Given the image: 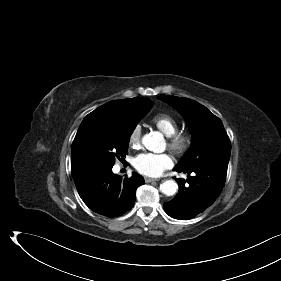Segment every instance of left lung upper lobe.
Segmentation results:
<instances>
[{"label":"left lung upper lobe","instance_id":"5c2ea615","mask_svg":"<svg viewBox=\"0 0 281 281\" xmlns=\"http://www.w3.org/2000/svg\"><path fill=\"white\" fill-rule=\"evenodd\" d=\"M158 99L172 105L181 113L193 136L190 149L176 167L190 169L204 164L228 166L231 143L218 117L188 98L168 95Z\"/></svg>","mask_w":281,"mask_h":281}]
</instances>
